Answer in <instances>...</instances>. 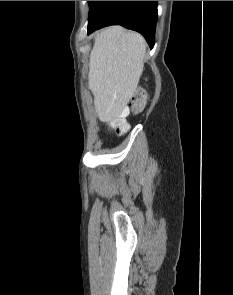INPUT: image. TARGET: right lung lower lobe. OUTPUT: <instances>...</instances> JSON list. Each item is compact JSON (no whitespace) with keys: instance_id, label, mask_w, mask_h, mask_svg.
I'll return each instance as SVG.
<instances>
[{"instance_id":"obj_1","label":"right lung lower lobe","mask_w":233,"mask_h":295,"mask_svg":"<svg viewBox=\"0 0 233 295\" xmlns=\"http://www.w3.org/2000/svg\"><path fill=\"white\" fill-rule=\"evenodd\" d=\"M157 1H91L88 34L119 24L141 33L149 46L155 43Z\"/></svg>"}]
</instances>
